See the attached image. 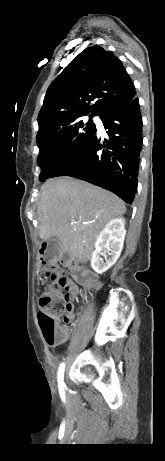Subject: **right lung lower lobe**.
<instances>
[{
  "label": "right lung lower lobe",
  "mask_w": 165,
  "mask_h": 461,
  "mask_svg": "<svg viewBox=\"0 0 165 461\" xmlns=\"http://www.w3.org/2000/svg\"><path fill=\"white\" fill-rule=\"evenodd\" d=\"M109 139L96 130L90 139L50 178L71 176L107 189L131 204L137 191L142 150L139 100L130 101L100 116Z\"/></svg>",
  "instance_id": "obj_1"
}]
</instances>
